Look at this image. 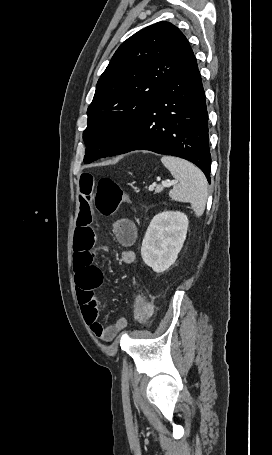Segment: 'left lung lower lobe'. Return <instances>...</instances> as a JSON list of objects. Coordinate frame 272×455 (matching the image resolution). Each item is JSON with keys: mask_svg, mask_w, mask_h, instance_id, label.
<instances>
[{"mask_svg": "<svg viewBox=\"0 0 272 455\" xmlns=\"http://www.w3.org/2000/svg\"><path fill=\"white\" fill-rule=\"evenodd\" d=\"M134 150L191 161L210 182L208 113L196 59L166 84L110 156Z\"/></svg>", "mask_w": 272, "mask_h": 455, "instance_id": "0a47b994", "label": "left lung lower lobe"}]
</instances>
